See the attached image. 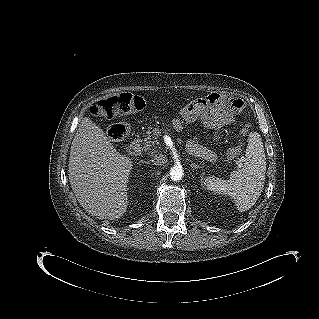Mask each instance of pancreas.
<instances>
[{
    "mask_svg": "<svg viewBox=\"0 0 319 319\" xmlns=\"http://www.w3.org/2000/svg\"><path fill=\"white\" fill-rule=\"evenodd\" d=\"M157 145V142L154 140V137L151 135V132H147L141 147L144 151L153 150Z\"/></svg>",
    "mask_w": 319,
    "mask_h": 319,
    "instance_id": "cf45deb5",
    "label": "pancreas"
}]
</instances>
